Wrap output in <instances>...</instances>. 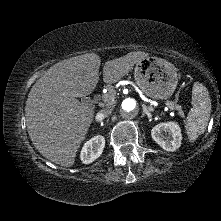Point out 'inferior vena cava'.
I'll return each mask as SVG.
<instances>
[{
  "mask_svg": "<svg viewBox=\"0 0 221 221\" xmlns=\"http://www.w3.org/2000/svg\"><path fill=\"white\" fill-rule=\"evenodd\" d=\"M113 111V107L112 106H107L105 108H103L96 116L97 120H101L103 117H107L109 116Z\"/></svg>",
  "mask_w": 221,
  "mask_h": 221,
  "instance_id": "inferior-vena-cava-1",
  "label": "inferior vena cava"
}]
</instances>
